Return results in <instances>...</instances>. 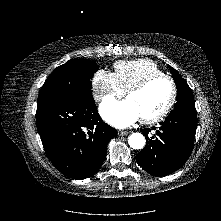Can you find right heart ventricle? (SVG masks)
Instances as JSON below:
<instances>
[{"label": "right heart ventricle", "mask_w": 221, "mask_h": 221, "mask_svg": "<svg viewBox=\"0 0 221 221\" xmlns=\"http://www.w3.org/2000/svg\"><path fill=\"white\" fill-rule=\"evenodd\" d=\"M113 67L114 75L124 92L151 75L163 73L148 59L121 60L115 62Z\"/></svg>", "instance_id": "right-heart-ventricle-1"}]
</instances>
